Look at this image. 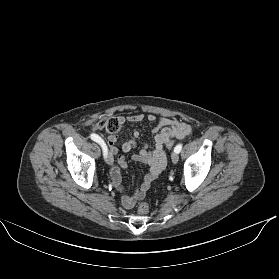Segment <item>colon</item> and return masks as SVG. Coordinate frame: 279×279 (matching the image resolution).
Here are the masks:
<instances>
[{"label": "colon", "mask_w": 279, "mask_h": 279, "mask_svg": "<svg viewBox=\"0 0 279 279\" xmlns=\"http://www.w3.org/2000/svg\"><path fill=\"white\" fill-rule=\"evenodd\" d=\"M98 130L106 132L108 135H116L120 129V122L118 118H108L102 119L96 124ZM175 139H169L166 142V147L168 149L173 148L175 144ZM149 211V206L147 203H141L138 208L140 214H147Z\"/></svg>", "instance_id": "obj_1"}]
</instances>
